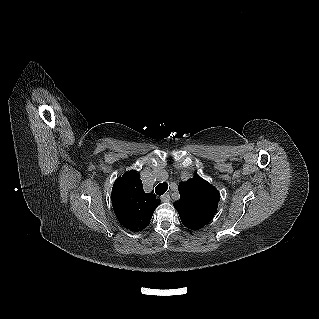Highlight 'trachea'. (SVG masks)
Masks as SVG:
<instances>
[{
    "instance_id": "trachea-1",
    "label": "trachea",
    "mask_w": 319,
    "mask_h": 319,
    "mask_svg": "<svg viewBox=\"0 0 319 319\" xmlns=\"http://www.w3.org/2000/svg\"><path fill=\"white\" fill-rule=\"evenodd\" d=\"M168 189V184L166 182L160 183L155 188V193L157 195H163Z\"/></svg>"
}]
</instances>
